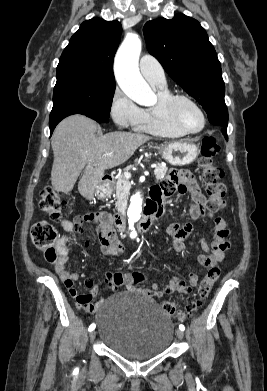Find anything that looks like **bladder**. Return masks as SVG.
Here are the masks:
<instances>
[{
	"mask_svg": "<svg viewBox=\"0 0 267 391\" xmlns=\"http://www.w3.org/2000/svg\"><path fill=\"white\" fill-rule=\"evenodd\" d=\"M101 342L115 353L146 360L165 352L172 343L174 324L152 299L134 291L109 296L96 313Z\"/></svg>",
	"mask_w": 267,
	"mask_h": 391,
	"instance_id": "bladder-1",
	"label": "bladder"
}]
</instances>
